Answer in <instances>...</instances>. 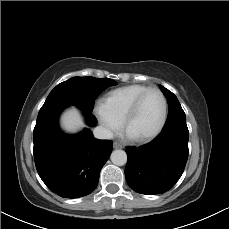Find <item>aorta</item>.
<instances>
[{
    "mask_svg": "<svg viewBox=\"0 0 229 229\" xmlns=\"http://www.w3.org/2000/svg\"><path fill=\"white\" fill-rule=\"evenodd\" d=\"M111 161L117 166H123L127 162V154L123 150H114L111 154Z\"/></svg>",
    "mask_w": 229,
    "mask_h": 229,
    "instance_id": "obj_1",
    "label": "aorta"
}]
</instances>
